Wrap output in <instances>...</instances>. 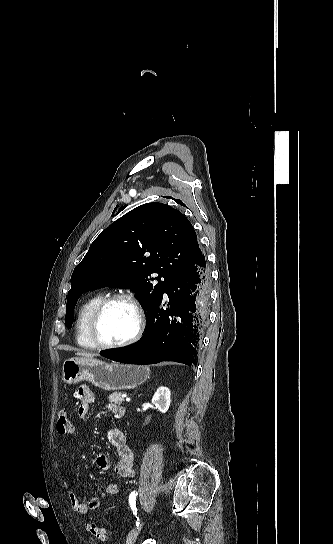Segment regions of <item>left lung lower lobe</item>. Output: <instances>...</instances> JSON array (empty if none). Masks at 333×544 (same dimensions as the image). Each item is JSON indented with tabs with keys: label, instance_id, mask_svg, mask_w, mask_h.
<instances>
[{
	"label": "left lung lower lobe",
	"instance_id": "left-lung-lower-lobe-1",
	"mask_svg": "<svg viewBox=\"0 0 333 544\" xmlns=\"http://www.w3.org/2000/svg\"><path fill=\"white\" fill-rule=\"evenodd\" d=\"M209 292L210 272L201 253L169 285L165 292L168 302L162 303V297L147 312L148 325L141 339L123 349L100 354L124 363L176 361L194 365L207 319Z\"/></svg>",
	"mask_w": 333,
	"mask_h": 544
}]
</instances>
